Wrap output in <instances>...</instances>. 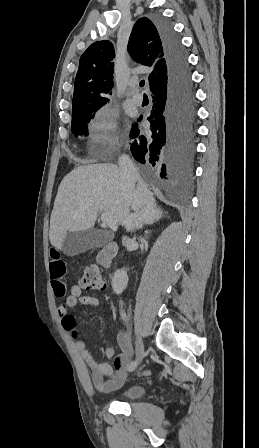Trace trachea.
<instances>
[{
    "mask_svg": "<svg viewBox=\"0 0 259 448\" xmlns=\"http://www.w3.org/2000/svg\"><path fill=\"white\" fill-rule=\"evenodd\" d=\"M144 85H145V81H144V80H141L140 83H139V86H140V87H144Z\"/></svg>",
    "mask_w": 259,
    "mask_h": 448,
    "instance_id": "3493384b",
    "label": "trachea"
}]
</instances>
